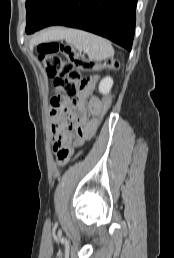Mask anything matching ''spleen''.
<instances>
[{
  "instance_id": "obj_1",
  "label": "spleen",
  "mask_w": 174,
  "mask_h": 258,
  "mask_svg": "<svg viewBox=\"0 0 174 258\" xmlns=\"http://www.w3.org/2000/svg\"><path fill=\"white\" fill-rule=\"evenodd\" d=\"M55 30L52 32L54 37L64 38L67 43L75 46L79 51L87 53L92 60L101 61L114 55L111 43L102 37L78 29Z\"/></svg>"
}]
</instances>
